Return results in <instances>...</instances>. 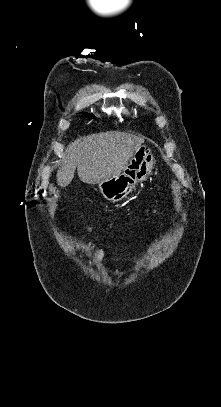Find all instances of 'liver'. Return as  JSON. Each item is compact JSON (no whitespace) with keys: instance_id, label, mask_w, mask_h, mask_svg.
<instances>
[{"instance_id":"obj_1","label":"liver","mask_w":221,"mask_h":407,"mask_svg":"<svg viewBox=\"0 0 221 407\" xmlns=\"http://www.w3.org/2000/svg\"><path fill=\"white\" fill-rule=\"evenodd\" d=\"M144 139L125 132H103L78 138L66 149L56 174L58 185L68 186L76 168L79 179L86 184H98L118 175Z\"/></svg>"}]
</instances>
